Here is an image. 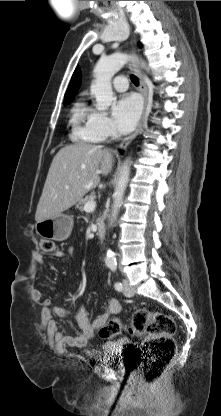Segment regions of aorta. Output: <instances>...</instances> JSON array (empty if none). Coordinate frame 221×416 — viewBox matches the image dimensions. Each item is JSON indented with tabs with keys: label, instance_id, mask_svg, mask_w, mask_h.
Listing matches in <instances>:
<instances>
[{
	"label": "aorta",
	"instance_id": "obj_1",
	"mask_svg": "<svg viewBox=\"0 0 221 416\" xmlns=\"http://www.w3.org/2000/svg\"><path fill=\"white\" fill-rule=\"evenodd\" d=\"M130 56L123 53H115L108 57L101 58L95 68V80L91 85V93L96 98V108L98 110H106L111 105L114 97L111 86V79L118 72L124 64L130 60ZM141 66L145 67V63L141 62ZM131 162L129 159L124 161L121 166L120 175L113 193V205L111 211V218L109 226H113L117 215L119 213L122 199L127 188L130 177ZM105 264L107 266H115L116 258L113 251L108 250L105 256Z\"/></svg>",
	"mask_w": 221,
	"mask_h": 416
}]
</instances>
